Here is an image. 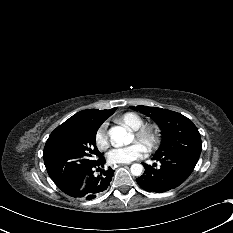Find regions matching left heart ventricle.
Returning a JSON list of instances; mask_svg holds the SVG:
<instances>
[{"label":"left heart ventricle","instance_id":"1","mask_svg":"<svg viewBox=\"0 0 233 233\" xmlns=\"http://www.w3.org/2000/svg\"><path fill=\"white\" fill-rule=\"evenodd\" d=\"M132 141H134V140H136V138H135V136L134 135H132V139H131ZM140 143H142L143 145H144V143L143 142H141V141H139ZM145 146V145H144Z\"/></svg>","mask_w":233,"mask_h":233}]
</instances>
